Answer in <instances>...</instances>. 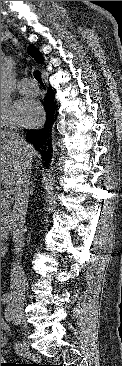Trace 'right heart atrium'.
<instances>
[{
    "mask_svg": "<svg viewBox=\"0 0 122 366\" xmlns=\"http://www.w3.org/2000/svg\"><path fill=\"white\" fill-rule=\"evenodd\" d=\"M15 124L17 123L13 116L11 118L9 107L6 104H1V129H13L16 127Z\"/></svg>",
    "mask_w": 122,
    "mask_h": 366,
    "instance_id": "d8ad5b80",
    "label": "right heart atrium"
}]
</instances>
